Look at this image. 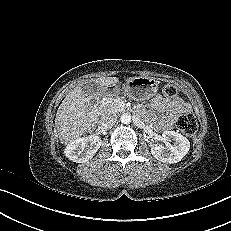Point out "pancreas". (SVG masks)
Masks as SVG:
<instances>
[{"instance_id":"pancreas-1","label":"pancreas","mask_w":231,"mask_h":231,"mask_svg":"<svg viewBox=\"0 0 231 231\" xmlns=\"http://www.w3.org/2000/svg\"><path fill=\"white\" fill-rule=\"evenodd\" d=\"M119 98H106L102 101L99 111L101 115H107L111 113H118L123 110V107L120 106Z\"/></svg>"}]
</instances>
